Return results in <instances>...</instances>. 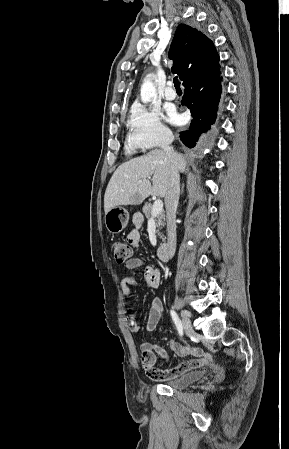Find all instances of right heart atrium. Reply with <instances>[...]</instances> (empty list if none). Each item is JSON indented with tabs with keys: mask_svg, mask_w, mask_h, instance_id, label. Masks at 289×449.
I'll use <instances>...</instances> for the list:
<instances>
[{
	"mask_svg": "<svg viewBox=\"0 0 289 449\" xmlns=\"http://www.w3.org/2000/svg\"><path fill=\"white\" fill-rule=\"evenodd\" d=\"M128 127L129 144L135 149L149 150L168 143L172 138L159 113L142 105L132 108Z\"/></svg>",
	"mask_w": 289,
	"mask_h": 449,
	"instance_id": "obj_1",
	"label": "right heart atrium"
}]
</instances>
